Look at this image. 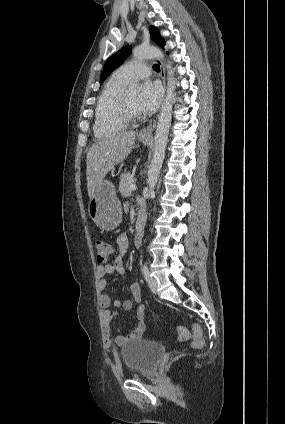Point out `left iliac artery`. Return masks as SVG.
Returning <instances> with one entry per match:
<instances>
[{"label":"left iliac artery","instance_id":"left-iliac-artery-1","mask_svg":"<svg viewBox=\"0 0 285 424\" xmlns=\"http://www.w3.org/2000/svg\"><path fill=\"white\" fill-rule=\"evenodd\" d=\"M143 275H144L145 280L148 281V279H149V270H148V268L146 266V263L143 266Z\"/></svg>","mask_w":285,"mask_h":424}]
</instances>
